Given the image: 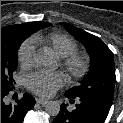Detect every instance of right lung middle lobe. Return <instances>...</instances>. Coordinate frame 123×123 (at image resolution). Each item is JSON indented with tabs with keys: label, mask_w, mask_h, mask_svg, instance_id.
<instances>
[{
	"label": "right lung middle lobe",
	"mask_w": 123,
	"mask_h": 123,
	"mask_svg": "<svg viewBox=\"0 0 123 123\" xmlns=\"http://www.w3.org/2000/svg\"><path fill=\"white\" fill-rule=\"evenodd\" d=\"M51 25L46 22H31L1 39V89L11 90L13 73L17 69V52L21 43L32 33Z\"/></svg>",
	"instance_id": "dd1d6c3e"
}]
</instances>
